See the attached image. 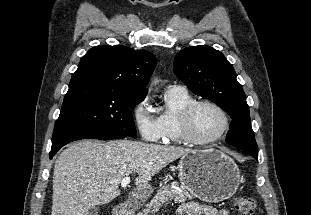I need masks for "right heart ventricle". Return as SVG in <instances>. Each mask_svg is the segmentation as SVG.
<instances>
[{
    "label": "right heart ventricle",
    "mask_w": 311,
    "mask_h": 215,
    "mask_svg": "<svg viewBox=\"0 0 311 215\" xmlns=\"http://www.w3.org/2000/svg\"><path fill=\"white\" fill-rule=\"evenodd\" d=\"M166 110L160 115L165 143H185L180 129L179 115L184 107L194 101L187 90L168 89L165 94Z\"/></svg>",
    "instance_id": "1"
}]
</instances>
